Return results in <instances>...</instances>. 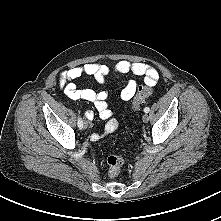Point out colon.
<instances>
[{
    "mask_svg": "<svg viewBox=\"0 0 221 221\" xmlns=\"http://www.w3.org/2000/svg\"><path fill=\"white\" fill-rule=\"evenodd\" d=\"M152 93L153 90L150 86H140L132 102L133 108L138 110L142 103L149 98ZM107 164L109 167V176L115 177L118 175L124 164V158L120 155H110L107 158Z\"/></svg>",
    "mask_w": 221,
    "mask_h": 221,
    "instance_id": "1",
    "label": "colon"
}]
</instances>
